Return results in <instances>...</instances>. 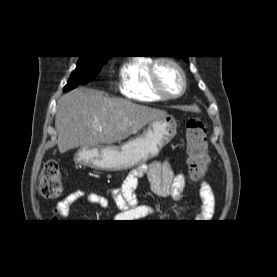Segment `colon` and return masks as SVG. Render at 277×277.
Masks as SVG:
<instances>
[{"instance_id":"colon-1","label":"colon","mask_w":277,"mask_h":277,"mask_svg":"<svg viewBox=\"0 0 277 277\" xmlns=\"http://www.w3.org/2000/svg\"><path fill=\"white\" fill-rule=\"evenodd\" d=\"M185 142L189 174L201 178L207 168V130L200 118H191L186 124ZM63 190L62 174L58 162L49 160L39 176V191L46 199L57 198Z\"/></svg>"}]
</instances>
